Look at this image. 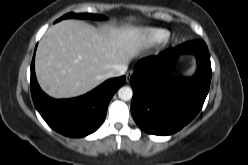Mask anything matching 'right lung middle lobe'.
Segmentation results:
<instances>
[{"label":"right lung middle lobe","instance_id":"dd1d6c3e","mask_svg":"<svg viewBox=\"0 0 248 165\" xmlns=\"http://www.w3.org/2000/svg\"><path fill=\"white\" fill-rule=\"evenodd\" d=\"M66 18L106 19V17H103L101 15H94V14H89V13H82V14L68 13L64 15L63 17L59 18L57 21H60Z\"/></svg>","mask_w":248,"mask_h":165}]
</instances>
